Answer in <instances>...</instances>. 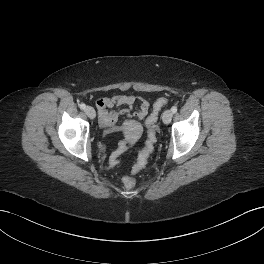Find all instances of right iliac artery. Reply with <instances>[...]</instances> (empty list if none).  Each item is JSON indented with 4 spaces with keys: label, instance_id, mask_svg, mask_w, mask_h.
Wrapping results in <instances>:
<instances>
[{
    "label": "right iliac artery",
    "instance_id": "82829eb1",
    "mask_svg": "<svg viewBox=\"0 0 264 264\" xmlns=\"http://www.w3.org/2000/svg\"><path fill=\"white\" fill-rule=\"evenodd\" d=\"M80 108L84 110L86 108V105L84 103H81Z\"/></svg>",
    "mask_w": 264,
    "mask_h": 264
}]
</instances>
